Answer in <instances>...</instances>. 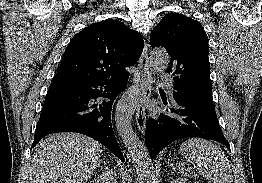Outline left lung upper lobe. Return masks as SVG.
Returning <instances> with one entry per match:
<instances>
[{
	"label": "left lung upper lobe",
	"mask_w": 262,
	"mask_h": 183,
	"mask_svg": "<svg viewBox=\"0 0 262 183\" xmlns=\"http://www.w3.org/2000/svg\"><path fill=\"white\" fill-rule=\"evenodd\" d=\"M152 47H164L171 59L173 97L212 100L208 37L201 24L183 14H166L150 35Z\"/></svg>",
	"instance_id": "1"
}]
</instances>
